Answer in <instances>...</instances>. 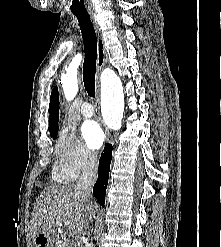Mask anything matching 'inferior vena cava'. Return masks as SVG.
Here are the masks:
<instances>
[{
  "mask_svg": "<svg viewBox=\"0 0 221 247\" xmlns=\"http://www.w3.org/2000/svg\"><path fill=\"white\" fill-rule=\"evenodd\" d=\"M97 175H98L97 155L91 152H87L85 161H84L82 174L76 185V190H77V193L83 199V201L87 204V207L89 209V213L87 216L88 221H92L93 210H92V205H91L92 203L91 202V191L97 179ZM73 246L74 247H86L84 242L80 240H76Z\"/></svg>",
  "mask_w": 221,
  "mask_h": 247,
  "instance_id": "1",
  "label": "inferior vena cava"
}]
</instances>
